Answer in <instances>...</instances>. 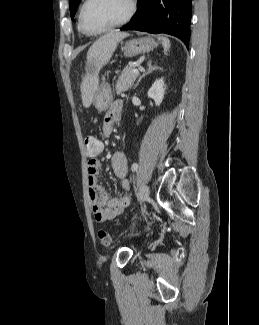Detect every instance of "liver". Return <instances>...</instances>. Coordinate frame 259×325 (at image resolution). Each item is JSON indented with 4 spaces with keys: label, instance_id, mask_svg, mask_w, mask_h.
<instances>
[{
    "label": "liver",
    "instance_id": "6515ba94",
    "mask_svg": "<svg viewBox=\"0 0 259 325\" xmlns=\"http://www.w3.org/2000/svg\"><path fill=\"white\" fill-rule=\"evenodd\" d=\"M128 36L129 34L126 32L111 31L96 40L89 48L87 62L94 74L86 77L81 85L82 103L85 108L91 105L97 90L98 71L110 60L118 43Z\"/></svg>",
    "mask_w": 259,
    "mask_h": 325
}]
</instances>
